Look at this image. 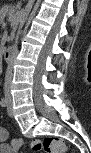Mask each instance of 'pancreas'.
<instances>
[{"label":"pancreas","mask_w":91,"mask_h":153,"mask_svg":"<svg viewBox=\"0 0 91 153\" xmlns=\"http://www.w3.org/2000/svg\"><path fill=\"white\" fill-rule=\"evenodd\" d=\"M0 13L2 19H4V17L7 16L11 23L15 22V19L17 17L16 7L6 5L1 8Z\"/></svg>","instance_id":"1"}]
</instances>
